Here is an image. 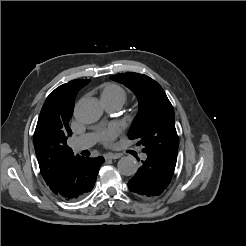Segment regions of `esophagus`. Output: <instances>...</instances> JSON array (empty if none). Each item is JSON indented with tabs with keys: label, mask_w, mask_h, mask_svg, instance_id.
Here are the masks:
<instances>
[{
	"label": "esophagus",
	"mask_w": 246,
	"mask_h": 246,
	"mask_svg": "<svg viewBox=\"0 0 246 246\" xmlns=\"http://www.w3.org/2000/svg\"><path fill=\"white\" fill-rule=\"evenodd\" d=\"M122 155L118 154V153H107L104 155L105 159H118L120 158Z\"/></svg>",
	"instance_id": "34e87169"
}]
</instances>
